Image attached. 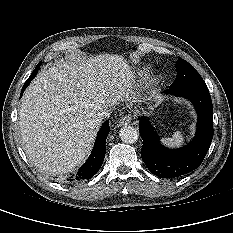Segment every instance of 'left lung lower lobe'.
<instances>
[{
	"label": "left lung lower lobe",
	"instance_id": "left-lung-lower-lobe-1",
	"mask_svg": "<svg viewBox=\"0 0 233 233\" xmlns=\"http://www.w3.org/2000/svg\"><path fill=\"white\" fill-rule=\"evenodd\" d=\"M164 93L190 100L198 114L196 136L180 149L164 148L148 119L139 118L144 163L158 177L172 178L189 173L202 163L213 138V106L207 86H181L169 88Z\"/></svg>",
	"mask_w": 233,
	"mask_h": 233
}]
</instances>
